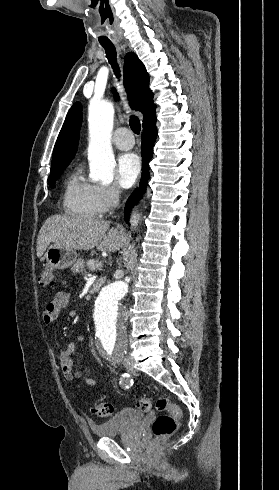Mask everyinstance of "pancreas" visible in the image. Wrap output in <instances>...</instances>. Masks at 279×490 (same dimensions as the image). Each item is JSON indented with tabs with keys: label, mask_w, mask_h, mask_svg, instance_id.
Wrapping results in <instances>:
<instances>
[{
	"label": "pancreas",
	"mask_w": 279,
	"mask_h": 490,
	"mask_svg": "<svg viewBox=\"0 0 279 490\" xmlns=\"http://www.w3.org/2000/svg\"><path fill=\"white\" fill-rule=\"evenodd\" d=\"M85 264H88V260H77L76 264H73L71 270L73 274H81V272H84ZM102 268V264H99V262H96L94 268H90L91 272H95V270H100ZM88 274V272H87Z\"/></svg>",
	"instance_id": "cf45deb5"
}]
</instances>
